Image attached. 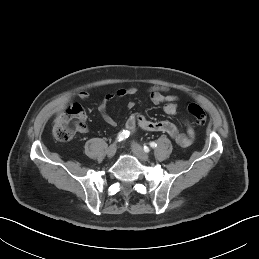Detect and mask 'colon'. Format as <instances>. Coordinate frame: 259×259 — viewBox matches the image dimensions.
<instances>
[{"label":"colon","instance_id":"1","mask_svg":"<svg viewBox=\"0 0 259 259\" xmlns=\"http://www.w3.org/2000/svg\"><path fill=\"white\" fill-rule=\"evenodd\" d=\"M187 111L198 124L205 123L206 113L200 105L189 102L187 104ZM84 122L85 113L83 108L77 103L68 104L54 121V135L59 141H68L77 130L84 127Z\"/></svg>","mask_w":259,"mask_h":259}]
</instances>
